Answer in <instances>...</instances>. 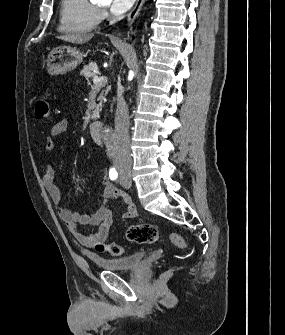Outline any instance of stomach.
<instances>
[{
    "mask_svg": "<svg viewBox=\"0 0 285 335\" xmlns=\"http://www.w3.org/2000/svg\"><path fill=\"white\" fill-rule=\"evenodd\" d=\"M85 58L83 52L78 48H70V46H59L50 52L47 58V72L51 76L55 74H64L67 70H72L79 66Z\"/></svg>",
    "mask_w": 285,
    "mask_h": 335,
    "instance_id": "0dacf381",
    "label": "stomach"
}]
</instances>
